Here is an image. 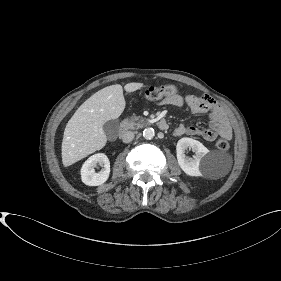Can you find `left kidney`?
I'll use <instances>...</instances> for the list:
<instances>
[{"label":"left kidney","mask_w":281,"mask_h":281,"mask_svg":"<svg viewBox=\"0 0 281 281\" xmlns=\"http://www.w3.org/2000/svg\"><path fill=\"white\" fill-rule=\"evenodd\" d=\"M191 148L195 153L193 158H187L185 150ZM177 161L180 168L189 176H201L202 164L209 150L199 141L192 138H181L176 146Z\"/></svg>","instance_id":"5707ae66"}]
</instances>
